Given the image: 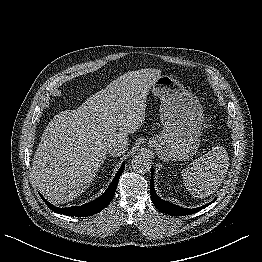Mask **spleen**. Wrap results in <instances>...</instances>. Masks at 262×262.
I'll use <instances>...</instances> for the list:
<instances>
[{"instance_id": "3e777b00", "label": "spleen", "mask_w": 262, "mask_h": 262, "mask_svg": "<svg viewBox=\"0 0 262 262\" xmlns=\"http://www.w3.org/2000/svg\"><path fill=\"white\" fill-rule=\"evenodd\" d=\"M227 151L222 146L212 148L182 170V179L189 192L207 197L221 185L229 166Z\"/></svg>"}]
</instances>
